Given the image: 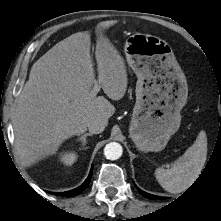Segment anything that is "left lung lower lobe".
<instances>
[{
	"instance_id": "obj_1",
	"label": "left lung lower lobe",
	"mask_w": 221,
	"mask_h": 221,
	"mask_svg": "<svg viewBox=\"0 0 221 221\" xmlns=\"http://www.w3.org/2000/svg\"><path fill=\"white\" fill-rule=\"evenodd\" d=\"M138 191H139L143 196H145V197L148 198V199H153V200L165 199V197H159V196H156V195L148 194V193H146V192L140 190L139 188H138Z\"/></svg>"
}]
</instances>
